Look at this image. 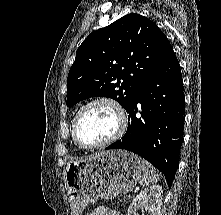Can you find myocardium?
Here are the masks:
<instances>
[{
  "label": "myocardium",
  "mask_w": 221,
  "mask_h": 215,
  "mask_svg": "<svg viewBox=\"0 0 221 215\" xmlns=\"http://www.w3.org/2000/svg\"><path fill=\"white\" fill-rule=\"evenodd\" d=\"M98 103H105L113 107L118 117V127L116 131L114 132V134L108 139H106L105 141L97 143V144H85L78 135V122H79L80 116L88 107L98 104ZM127 125H128V119H127L126 112L124 108L122 107V105L114 98L101 96V97H96L87 101L76 112L74 119H73V123H72V136H73L74 142L80 148L98 149V148H103L105 146H108L114 143L115 141H117L119 138H121L124 132L126 131Z\"/></svg>",
  "instance_id": "obj_1"
}]
</instances>
